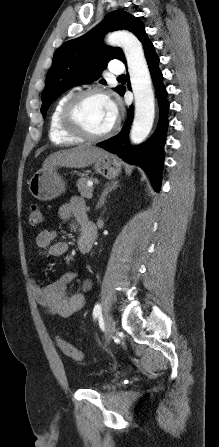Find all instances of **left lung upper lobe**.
I'll return each instance as SVG.
<instances>
[{"instance_id":"obj_1","label":"left lung upper lobe","mask_w":219,"mask_h":447,"mask_svg":"<svg viewBox=\"0 0 219 447\" xmlns=\"http://www.w3.org/2000/svg\"><path fill=\"white\" fill-rule=\"evenodd\" d=\"M121 29L132 32L140 41L146 37L141 20L128 12L116 10L90 32L67 41L58 48L41 95L43 117L46 116L51 103L62 93L73 86L97 80L110 60L119 59L126 62L120 48L106 47L102 43L106 32ZM101 83L105 84V80ZM123 89V86L115 88L119 94Z\"/></svg>"}]
</instances>
